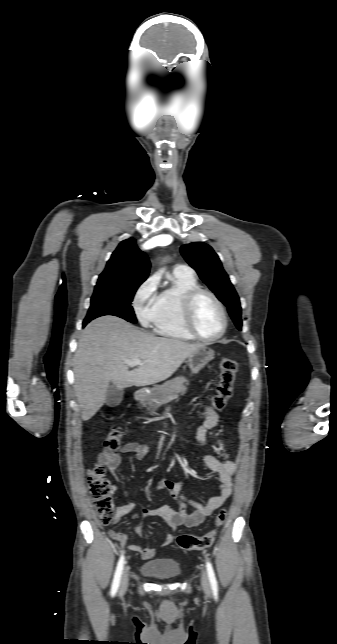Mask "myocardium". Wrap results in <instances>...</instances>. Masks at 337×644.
<instances>
[{"label": "myocardium", "mask_w": 337, "mask_h": 644, "mask_svg": "<svg viewBox=\"0 0 337 644\" xmlns=\"http://www.w3.org/2000/svg\"><path fill=\"white\" fill-rule=\"evenodd\" d=\"M207 295L209 296L218 306L221 315H222V327L220 332L215 335L214 337L211 338H205L201 336L198 331L196 330L195 324H194V312H195V306L198 301V299L203 296ZM182 322L187 330V332L196 340L204 342V343H213L222 338L227 330L228 326V314L226 311V308L223 304V302L220 300V298L211 290L202 288V287H196L191 290H189L182 301Z\"/></svg>", "instance_id": "obj_1"}]
</instances>
